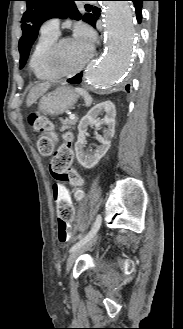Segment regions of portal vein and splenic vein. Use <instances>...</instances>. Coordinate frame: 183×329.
<instances>
[{
	"mask_svg": "<svg viewBox=\"0 0 183 329\" xmlns=\"http://www.w3.org/2000/svg\"><path fill=\"white\" fill-rule=\"evenodd\" d=\"M69 118H70V120H74L76 117H75L74 114H71V115L69 116Z\"/></svg>",
	"mask_w": 183,
	"mask_h": 329,
	"instance_id": "1",
	"label": "portal vein and splenic vein"
}]
</instances>
